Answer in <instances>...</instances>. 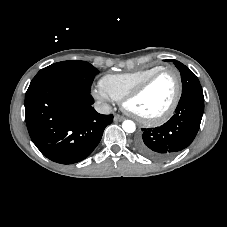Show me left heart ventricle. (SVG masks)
<instances>
[{
    "label": "left heart ventricle",
    "instance_id": "left-heart-ventricle-1",
    "mask_svg": "<svg viewBox=\"0 0 227 227\" xmlns=\"http://www.w3.org/2000/svg\"><path fill=\"white\" fill-rule=\"evenodd\" d=\"M175 92V75L172 72H166L158 76L140 95L132 99L128 106L143 117H153L167 109Z\"/></svg>",
    "mask_w": 227,
    "mask_h": 227
}]
</instances>
